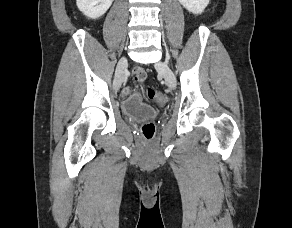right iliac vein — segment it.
Returning a JSON list of instances; mask_svg holds the SVG:
<instances>
[{
    "label": "right iliac vein",
    "mask_w": 292,
    "mask_h": 228,
    "mask_svg": "<svg viewBox=\"0 0 292 228\" xmlns=\"http://www.w3.org/2000/svg\"><path fill=\"white\" fill-rule=\"evenodd\" d=\"M127 67V59L121 58L117 64L114 80V90L118 91L124 81L125 69Z\"/></svg>",
    "instance_id": "63e3f726"
}]
</instances>
